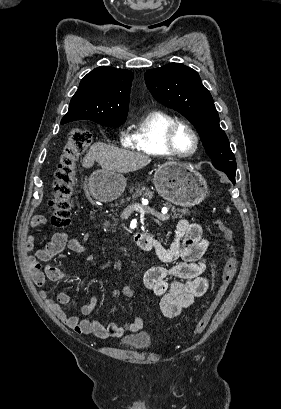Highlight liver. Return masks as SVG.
Masks as SVG:
<instances>
[{
    "mask_svg": "<svg viewBox=\"0 0 281 409\" xmlns=\"http://www.w3.org/2000/svg\"><path fill=\"white\" fill-rule=\"evenodd\" d=\"M94 160L101 164L103 170H114V172H132L139 170L151 162L149 154L144 152H134V150H125L117 146H109L105 142H95L90 146L85 154L82 166L90 168Z\"/></svg>",
    "mask_w": 281,
    "mask_h": 409,
    "instance_id": "obj_1",
    "label": "liver"
}]
</instances>
